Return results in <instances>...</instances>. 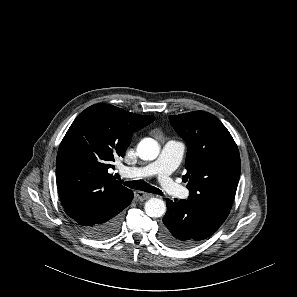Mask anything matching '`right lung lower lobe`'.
Returning <instances> with one entry per match:
<instances>
[{"label": "right lung lower lobe", "mask_w": 297, "mask_h": 297, "mask_svg": "<svg viewBox=\"0 0 297 297\" xmlns=\"http://www.w3.org/2000/svg\"><path fill=\"white\" fill-rule=\"evenodd\" d=\"M133 193L128 192L119 201L102 198L89 203L85 212L74 217L77 228L90 238L104 240L114 236L120 228L122 211L132 201Z\"/></svg>", "instance_id": "98d812e1"}]
</instances>
